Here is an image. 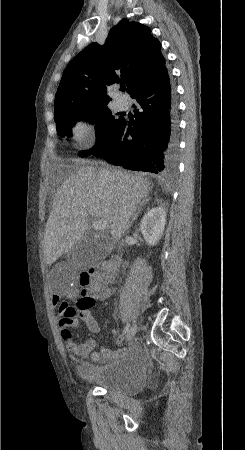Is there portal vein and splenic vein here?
Instances as JSON below:
<instances>
[{
  "instance_id": "portal-vein-and-splenic-vein-1",
  "label": "portal vein and splenic vein",
  "mask_w": 245,
  "mask_h": 450,
  "mask_svg": "<svg viewBox=\"0 0 245 450\" xmlns=\"http://www.w3.org/2000/svg\"><path fill=\"white\" fill-rule=\"evenodd\" d=\"M93 227L96 230H106L109 227V223L106 219H101L93 222Z\"/></svg>"
}]
</instances>
